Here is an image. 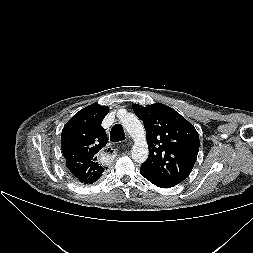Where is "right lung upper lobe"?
Segmentation results:
<instances>
[{"mask_svg": "<svg viewBox=\"0 0 253 253\" xmlns=\"http://www.w3.org/2000/svg\"><path fill=\"white\" fill-rule=\"evenodd\" d=\"M109 108L89 105L77 112L64 126L61 149L70 174L82 184H92L105 171L97 161V153L107 144L101 123Z\"/></svg>", "mask_w": 253, "mask_h": 253, "instance_id": "1", "label": "right lung upper lobe"}]
</instances>
